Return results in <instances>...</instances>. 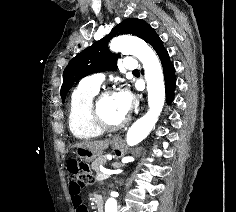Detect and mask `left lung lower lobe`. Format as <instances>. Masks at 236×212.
<instances>
[{
	"label": "left lung lower lobe",
	"mask_w": 236,
	"mask_h": 212,
	"mask_svg": "<svg viewBox=\"0 0 236 212\" xmlns=\"http://www.w3.org/2000/svg\"><path fill=\"white\" fill-rule=\"evenodd\" d=\"M146 42L154 48L161 60L166 87V101L168 104H170L174 99V90L176 87L174 65L170 61L169 54L165 49L162 40L154 29L149 32Z\"/></svg>",
	"instance_id": "left-lung-lower-lobe-1"
}]
</instances>
